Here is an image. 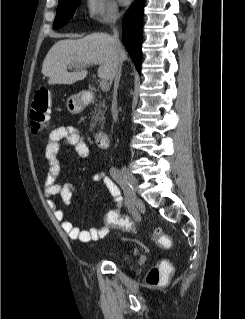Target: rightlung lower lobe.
<instances>
[{"instance_id":"obj_1","label":"right lung lower lobe","mask_w":245,"mask_h":319,"mask_svg":"<svg viewBox=\"0 0 245 319\" xmlns=\"http://www.w3.org/2000/svg\"><path fill=\"white\" fill-rule=\"evenodd\" d=\"M145 0H135L123 19V43L138 72L142 59V20Z\"/></svg>"}]
</instances>
